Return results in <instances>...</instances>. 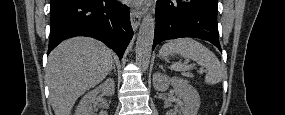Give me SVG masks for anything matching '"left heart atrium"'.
Here are the masks:
<instances>
[{
  "label": "left heart atrium",
  "mask_w": 285,
  "mask_h": 115,
  "mask_svg": "<svg viewBox=\"0 0 285 115\" xmlns=\"http://www.w3.org/2000/svg\"><path fill=\"white\" fill-rule=\"evenodd\" d=\"M134 4L139 5L141 3L140 0L133 1Z\"/></svg>",
  "instance_id": "39dd6f15"
}]
</instances>
